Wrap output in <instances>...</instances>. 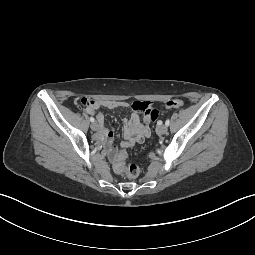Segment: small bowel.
<instances>
[{
    "mask_svg": "<svg viewBox=\"0 0 255 255\" xmlns=\"http://www.w3.org/2000/svg\"><path fill=\"white\" fill-rule=\"evenodd\" d=\"M100 106L116 109L120 107H128V103L121 101H101L94 106H87L86 112L88 114L96 115L100 130L98 133V139L105 142L107 145H111L114 137V128H107L103 125L104 116L98 112ZM133 113L129 119H125L123 122L124 138L125 141L121 143L122 147H130L135 143L142 142L145 138L150 136V128L148 125L142 124L137 111L145 113V122L150 123L157 119L159 111L157 107L150 102L135 101L132 103ZM113 151V149H112Z\"/></svg>",
    "mask_w": 255,
    "mask_h": 255,
    "instance_id": "c3829d8e",
    "label": "small bowel"
}]
</instances>
